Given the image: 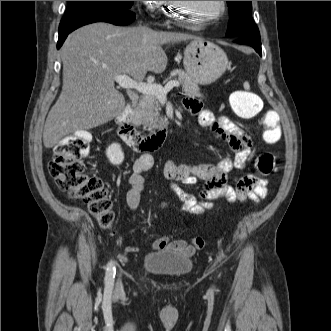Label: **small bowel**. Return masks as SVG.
<instances>
[{
    "label": "small bowel",
    "instance_id": "c3829d8e",
    "mask_svg": "<svg viewBox=\"0 0 331 331\" xmlns=\"http://www.w3.org/2000/svg\"><path fill=\"white\" fill-rule=\"evenodd\" d=\"M185 108L197 116L199 124L210 130L217 138L225 141L234 151V156L225 157L215 164L186 165L176 164L168 160L164 165V176L173 181L172 191L181 202V208L189 214H201L210 209L212 204L205 202L218 197L225 198L228 202L249 198L256 202L267 194V180L255 175H247L237 180L236 188L227 185V174L232 169H243L250 157L253 142L248 134L232 119L227 116L216 117L211 111L203 108L202 104L194 99L184 100ZM153 166L150 154L138 157L132 166L128 177L130 186L126 193V203L135 213L141 200L144 187L143 174ZM198 180L203 181L199 198L179 187L176 182L186 186H194ZM135 218V217H134ZM172 248L192 255L195 247L184 240L170 242L163 236L152 244L153 250ZM136 246H129L126 252L134 253Z\"/></svg>",
    "mask_w": 331,
    "mask_h": 331
}]
</instances>
